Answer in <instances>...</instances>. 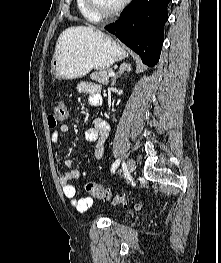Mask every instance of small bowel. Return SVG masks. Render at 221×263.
<instances>
[{
  "instance_id": "small-bowel-1",
  "label": "small bowel",
  "mask_w": 221,
  "mask_h": 263,
  "mask_svg": "<svg viewBox=\"0 0 221 263\" xmlns=\"http://www.w3.org/2000/svg\"><path fill=\"white\" fill-rule=\"evenodd\" d=\"M77 90L80 93L88 95L89 103L92 106H98L102 102L101 86L100 84L93 82H81L77 85ZM70 130L69 125L61 124L57 129L52 132V141L57 143L59 134H66ZM109 133V124L101 119L97 118L93 120L92 126L86 131V140L94 144L93 153L96 158H100L104 152V140ZM65 165L68 167V171L63 174L59 183L62 188V192L66 198L70 200V204L78 211H86L93 203L90 197H80L77 195L76 188L70 184V181L78 179L82 176L81 171L72 165L71 160H65Z\"/></svg>"
}]
</instances>
